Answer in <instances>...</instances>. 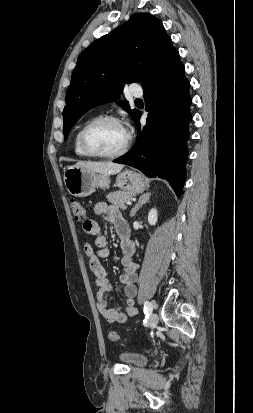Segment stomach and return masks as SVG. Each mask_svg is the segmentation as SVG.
Instances as JSON below:
<instances>
[{"instance_id": "obj_1", "label": "stomach", "mask_w": 253, "mask_h": 413, "mask_svg": "<svg viewBox=\"0 0 253 413\" xmlns=\"http://www.w3.org/2000/svg\"><path fill=\"white\" fill-rule=\"evenodd\" d=\"M64 184L70 195L87 197L95 192L96 188H108L110 177L72 165L64 172ZM116 186L125 192L142 193L146 188V183L143 177L135 171L124 170L118 173Z\"/></svg>"}]
</instances>
